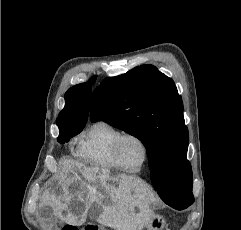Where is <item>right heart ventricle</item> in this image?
Masks as SVG:
<instances>
[{
  "mask_svg": "<svg viewBox=\"0 0 241 230\" xmlns=\"http://www.w3.org/2000/svg\"><path fill=\"white\" fill-rule=\"evenodd\" d=\"M121 131L113 124L98 120L81 136L78 157L88 163L120 168L114 156V143Z\"/></svg>",
  "mask_w": 241,
  "mask_h": 230,
  "instance_id": "right-heart-ventricle-1",
  "label": "right heart ventricle"
}]
</instances>
